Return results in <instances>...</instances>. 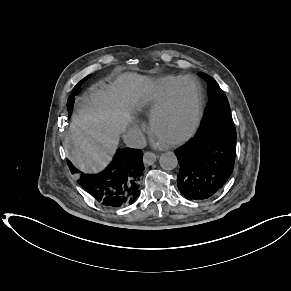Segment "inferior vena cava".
Listing matches in <instances>:
<instances>
[{
  "mask_svg": "<svg viewBox=\"0 0 291 291\" xmlns=\"http://www.w3.org/2000/svg\"><path fill=\"white\" fill-rule=\"evenodd\" d=\"M124 143L131 148L142 149L146 146V139L140 130L130 131L123 135Z\"/></svg>",
  "mask_w": 291,
  "mask_h": 291,
  "instance_id": "obj_1",
  "label": "inferior vena cava"
}]
</instances>
